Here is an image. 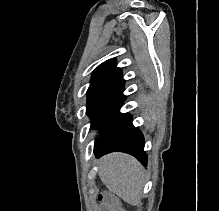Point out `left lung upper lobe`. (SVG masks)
Instances as JSON below:
<instances>
[{"label": "left lung upper lobe", "instance_id": "obj_1", "mask_svg": "<svg viewBox=\"0 0 219 211\" xmlns=\"http://www.w3.org/2000/svg\"><path fill=\"white\" fill-rule=\"evenodd\" d=\"M124 83L121 69L116 67L114 59L105 61L94 70L87 90L86 113L100 137L111 132L126 115L119 112L126 99Z\"/></svg>", "mask_w": 219, "mask_h": 211}]
</instances>
